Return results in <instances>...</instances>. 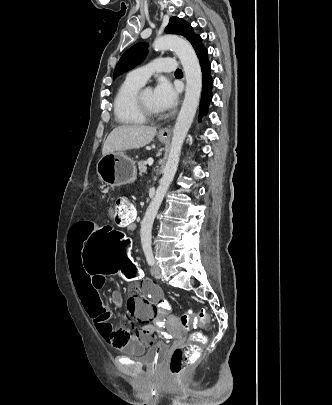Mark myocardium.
Masks as SVG:
<instances>
[{
  "instance_id": "f54148a6",
  "label": "myocardium",
  "mask_w": 332,
  "mask_h": 405,
  "mask_svg": "<svg viewBox=\"0 0 332 405\" xmlns=\"http://www.w3.org/2000/svg\"><path fill=\"white\" fill-rule=\"evenodd\" d=\"M143 92L144 90H139L136 94V106L139 113L146 119V120H154L159 117V113H156L149 109L143 100Z\"/></svg>"
}]
</instances>
